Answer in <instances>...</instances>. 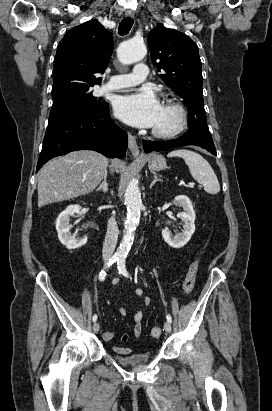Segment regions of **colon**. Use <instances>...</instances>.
Returning a JSON list of instances; mask_svg holds the SVG:
<instances>
[{
  "label": "colon",
  "mask_w": 272,
  "mask_h": 411,
  "mask_svg": "<svg viewBox=\"0 0 272 411\" xmlns=\"http://www.w3.org/2000/svg\"><path fill=\"white\" fill-rule=\"evenodd\" d=\"M199 265H200V261L199 260H195L193 261L187 271L185 280L183 282V292L185 294H190L195 286V282H196V277H197V273L199 270ZM151 337L152 338H159L162 335V328L161 327H153L151 329Z\"/></svg>",
  "instance_id": "1"
}]
</instances>
